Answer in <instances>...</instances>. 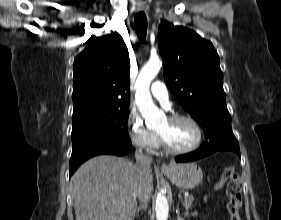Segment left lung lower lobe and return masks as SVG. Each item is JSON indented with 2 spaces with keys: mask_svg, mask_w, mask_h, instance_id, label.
<instances>
[{
  "mask_svg": "<svg viewBox=\"0 0 281 220\" xmlns=\"http://www.w3.org/2000/svg\"><path fill=\"white\" fill-rule=\"evenodd\" d=\"M216 151H232L235 152L240 157V149L238 145H227V146H214L210 143L204 144L200 149L191 152L189 154L177 156L175 160L177 162H190L204 158Z\"/></svg>",
  "mask_w": 281,
  "mask_h": 220,
  "instance_id": "0a47b994",
  "label": "left lung lower lobe"
}]
</instances>
